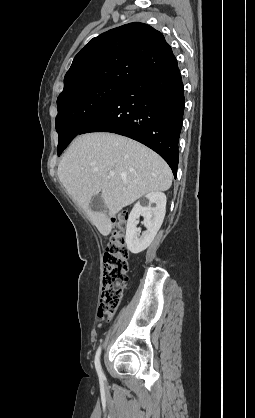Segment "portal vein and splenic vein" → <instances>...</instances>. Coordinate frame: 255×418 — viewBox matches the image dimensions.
Returning <instances> with one entry per match:
<instances>
[{
	"instance_id": "18ae733b",
	"label": "portal vein and splenic vein",
	"mask_w": 255,
	"mask_h": 418,
	"mask_svg": "<svg viewBox=\"0 0 255 418\" xmlns=\"http://www.w3.org/2000/svg\"><path fill=\"white\" fill-rule=\"evenodd\" d=\"M109 176H110V177L114 176V173H113V172H110V173H109Z\"/></svg>"
}]
</instances>
